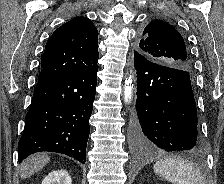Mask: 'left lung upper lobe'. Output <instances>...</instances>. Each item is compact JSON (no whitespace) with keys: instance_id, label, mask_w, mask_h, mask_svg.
Segmentation results:
<instances>
[{"instance_id":"left-lung-upper-lobe-1","label":"left lung upper lobe","mask_w":224,"mask_h":184,"mask_svg":"<svg viewBox=\"0 0 224 184\" xmlns=\"http://www.w3.org/2000/svg\"><path fill=\"white\" fill-rule=\"evenodd\" d=\"M135 53L159 65L191 70V60L182 35L161 20H153L144 28L139 49Z\"/></svg>"}]
</instances>
